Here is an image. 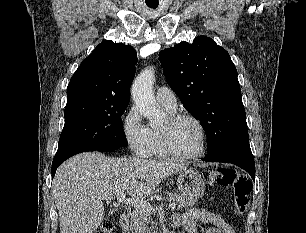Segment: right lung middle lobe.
Here are the masks:
<instances>
[{
	"mask_svg": "<svg viewBox=\"0 0 306 233\" xmlns=\"http://www.w3.org/2000/svg\"><path fill=\"white\" fill-rule=\"evenodd\" d=\"M128 103L81 99L67 103L55 156L82 146H127L122 115Z\"/></svg>",
	"mask_w": 306,
	"mask_h": 233,
	"instance_id": "right-lung-middle-lobe-1",
	"label": "right lung middle lobe"
}]
</instances>
